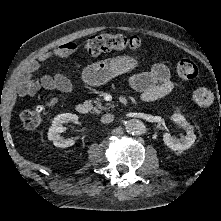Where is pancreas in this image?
<instances>
[{"instance_id":"pancreas-1","label":"pancreas","mask_w":221,"mask_h":221,"mask_svg":"<svg viewBox=\"0 0 221 221\" xmlns=\"http://www.w3.org/2000/svg\"><path fill=\"white\" fill-rule=\"evenodd\" d=\"M94 103L96 106L92 107V113H101L103 110L108 109L102 105L101 100H96Z\"/></svg>"}]
</instances>
